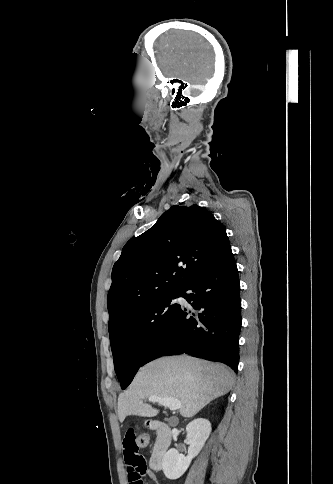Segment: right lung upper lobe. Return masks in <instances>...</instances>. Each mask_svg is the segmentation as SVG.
Returning a JSON list of instances; mask_svg holds the SVG:
<instances>
[{"instance_id":"obj_1","label":"right lung upper lobe","mask_w":333,"mask_h":484,"mask_svg":"<svg viewBox=\"0 0 333 484\" xmlns=\"http://www.w3.org/2000/svg\"><path fill=\"white\" fill-rule=\"evenodd\" d=\"M228 246L224 225L208 210L172 206L123 247L112 270L109 325L143 303L183 290Z\"/></svg>"}]
</instances>
